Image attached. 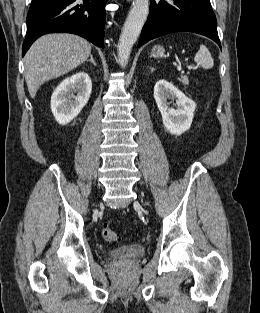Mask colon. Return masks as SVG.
Instances as JSON below:
<instances>
[{"mask_svg": "<svg viewBox=\"0 0 260 313\" xmlns=\"http://www.w3.org/2000/svg\"><path fill=\"white\" fill-rule=\"evenodd\" d=\"M102 238L108 243H114L118 241V235L108 226H103L101 229Z\"/></svg>", "mask_w": 260, "mask_h": 313, "instance_id": "1", "label": "colon"}]
</instances>
